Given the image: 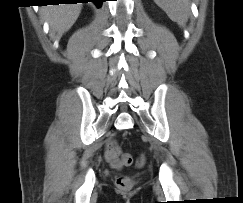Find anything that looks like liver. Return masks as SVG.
I'll return each mask as SVG.
<instances>
[{
  "label": "liver",
  "mask_w": 243,
  "mask_h": 203,
  "mask_svg": "<svg viewBox=\"0 0 243 203\" xmlns=\"http://www.w3.org/2000/svg\"><path fill=\"white\" fill-rule=\"evenodd\" d=\"M81 11V5L62 4L49 5L42 9L43 15L49 20L51 27L62 35L68 31L77 20Z\"/></svg>",
  "instance_id": "1"
}]
</instances>
